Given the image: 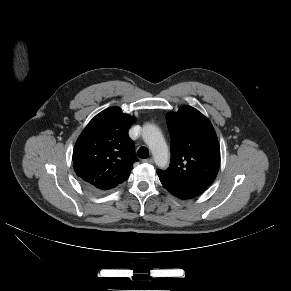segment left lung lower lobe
Returning <instances> with one entry per match:
<instances>
[{"label": "left lung lower lobe", "instance_id": "0a47b994", "mask_svg": "<svg viewBox=\"0 0 291 291\" xmlns=\"http://www.w3.org/2000/svg\"><path fill=\"white\" fill-rule=\"evenodd\" d=\"M157 174L164 188L172 195L182 200L195 198L204 191L192 185L172 179L159 171H157Z\"/></svg>", "mask_w": 291, "mask_h": 291}]
</instances>
